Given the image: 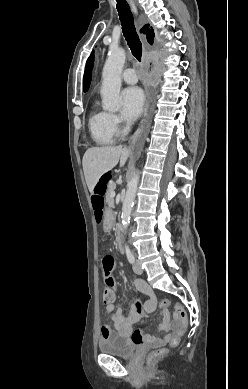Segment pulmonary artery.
<instances>
[{
    "label": "pulmonary artery",
    "mask_w": 248,
    "mask_h": 389,
    "mask_svg": "<svg viewBox=\"0 0 248 389\" xmlns=\"http://www.w3.org/2000/svg\"><path fill=\"white\" fill-rule=\"evenodd\" d=\"M122 79L129 84L136 83L138 81V76L136 74V71L132 68H128L124 70L122 73Z\"/></svg>",
    "instance_id": "e3ab8cb5"
}]
</instances>
